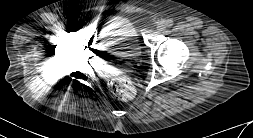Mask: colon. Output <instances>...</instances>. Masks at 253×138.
I'll list each match as a JSON object with an SVG mask.
<instances>
[{
	"mask_svg": "<svg viewBox=\"0 0 253 138\" xmlns=\"http://www.w3.org/2000/svg\"><path fill=\"white\" fill-rule=\"evenodd\" d=\"M109 90L111 94L121 100H129L135 94L133 84L126 78H116L110 82Z\"/></svg>",
	"mask_w": 253,
	"mask_h": 138,
	"instance_id": "5ec220e1",
	"label": "colon"
}]
</instances>
